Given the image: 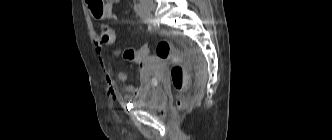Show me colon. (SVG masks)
<instances>
[{"mask_svg": "<svg viewBox=\"0 0 332 140\" xmlns=\"http://www.w3.org/2000/svg\"><path fill=\"white\" fill-rule=\"evenodd\" d=\"M91 14L100 19L105 11L108 0H85ZM102 36H117V31L110 23L103 21L99 25ZM149 52L148 46H142L138 50L127 49L123 52L125 59L139 62L143 60ZM156 53L159 58L169 61L172 64L170 69V80L174 88L180 93L184 92L189 84V76L183 63V55L167 41H160L156 46ZM190 104L188 97L181 95L177 100V107L185 109Z\"/></svg>", "mask_w": 332, "mask_h": 140, "instance_id": "5ec220e1", "label": "colon"}]
</instances>
